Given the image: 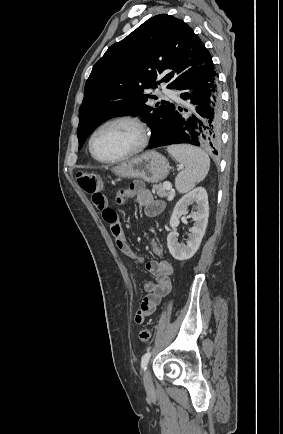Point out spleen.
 Masks as SVG:
<instances>
[{
    "mask_svg": "<svg viewBox=\"0 0 283 434\" xmlns=\"http://www.w3.org/2000/svg\"><path fill=\"white\" fill-rule=\"evenodd\" d=\"M168 152L184 166L175 179L178 192H188L208 174L210 159L203 150L191 145H175L168 147Z\"/></svg>",
    "mask_w": 283,
    "mask_h": 434,
    "instance_id": "3e777b00",
    "label": "spleen"
}]
</instances>
